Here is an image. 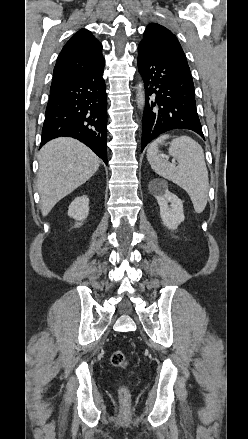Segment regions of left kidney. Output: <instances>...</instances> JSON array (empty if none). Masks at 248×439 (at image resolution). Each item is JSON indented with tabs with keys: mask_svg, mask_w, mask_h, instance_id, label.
I'll return each instance as SVG.
<instances>
[{
	"mask_svg": "<svg viewBox=\"0 0 248 439\" xmlns=\"http://www.w3.org/2000/svg\"><path fill=\"white\" fill-rule=\"evenodd\" d=\"M149 190L157 199L162 224L170 230L177 229L185 218L182 201L175 194L171 193L165 185L159 187L157 180L150 182Z\"/></svg>",
	"mask_w": 248,
	"mask_h": 439,
	"instance_id": "5707ae66",
	"label": "left kidney"
}]
</instances>
